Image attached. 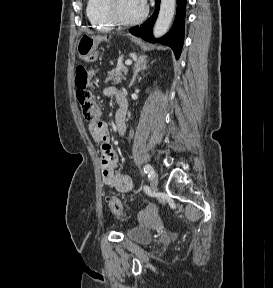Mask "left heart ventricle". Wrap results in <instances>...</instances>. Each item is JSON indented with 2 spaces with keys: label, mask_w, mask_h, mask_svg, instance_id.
Masks as SVG:
<instances>
[{
  "label": "left heart ventricle",
  "mask_w": 273,
  "mask_h": 288,
  "mask_svg": "<svg viewBox=\"0 0 273 288\" xmlns=\"http://www.w3.org/2000/svg\"><path fill=\"white\" fill-rule=\"evenodd\" d=\"M144 4L140 0H117L116 12L122 19H134L141 15Z\"/></svg>",
  "instance_id": "b2bd125f"
}]
</instances>
